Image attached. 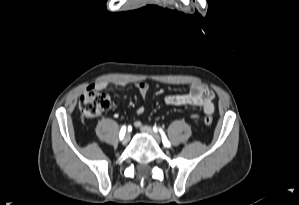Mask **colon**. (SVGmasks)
Segmentation results:
<instances>
[{"label": "colon", "instance_id": "obj_1", "mask_svg": "<svg viewBox=\"0 0 299 205\" xmlns=\"http://www.w3.org/2000/svg\"><path fill=\"white\" fill-rule=\"evenodd\" d=\"M110 95L93 86L89 87L81 96L79 109L84 119L95 118L104 113L110 106ZM212 117L207 115L204 118V123L207 126L212 124Z\"/></svg>", "mask_w": 299, "mask_h": 205}]
</instances>
